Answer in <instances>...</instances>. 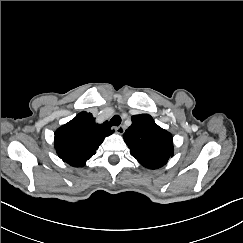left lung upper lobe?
<instances>
[{"instance_id":"5c2ea615","label":"left lung upper lobe","mask_w":243,"mask_h":243,"mask_svg":"<svg viewBox=\"0 0 243 243\" xmlns=\"http://www.w3.org/2000/svg\"><path fill=\"white\" fill-rule=\"evenodd\" d=\"M132 125L124 133L130 154L146 168L158 169L173 156L171 134L158 126L148 114L132 116Z\"/></svg>"}]
</instances>
